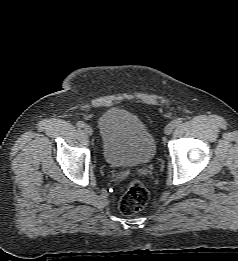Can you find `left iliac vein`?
<instances>
[{
    "label": "left iliac vein",
    "instance_id": "1",
    "mask_svg": "<svg viewBox=\"0 0 238 261\" xmlns=\"http://www.w3.org/2000/svg\"><path fill=\"white\" fill-rule=\"evenodd\" d=\"M174 128H175V125L173 122L167 124L165 127V130H164L165 134L170 135L173 132Z\"/></svg>",
    "mask_w": 238,
    "mask_h": 261
}]
</instances>
